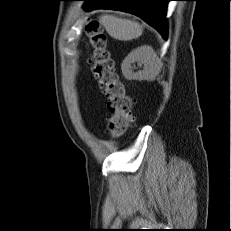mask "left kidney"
<instances>
[{
  "label": "left kidney",
  "instance_id": "5707ae66",
  "mask_svg": "<svg viewBox=\"0 0 231 231\" xmlns=\"http://www.w3.org/2000/svg\"><path fill=\"white\" fill-rule=\"evenodd\" d=\"M138 62L144 65L143 70L134 72L132 64ZM122 73L127 80H151L160 71V65L153 48L149 45L140 46L131 51L121 65Z\"/></svg>",
  "mask_w": 231,
  "mask_h": 231
}]
</instances>
